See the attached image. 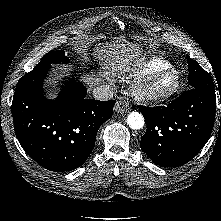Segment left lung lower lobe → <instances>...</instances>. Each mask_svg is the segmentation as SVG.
I'll list each match as a JSON object with an SVG mask.
<instances>
[{
  "mask_svg": "<svg viewBox=\"0 0 221 221\" xmlns=\"http://www.w3.org/2000/svg\"><path fill=\"white\" fill-rule=\"evenodd\" d=\"M147 124L140 147L157 165L177 167L194 158L208 141L216 95L192 88L167 106H139Z\"/></svg>",
  "mask_w": 221,
  "mask_h": 221,
  "instance_id": "0a47b994",
  "label": "left lung lower lobe"
}]
</instances>
